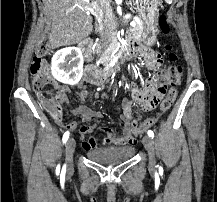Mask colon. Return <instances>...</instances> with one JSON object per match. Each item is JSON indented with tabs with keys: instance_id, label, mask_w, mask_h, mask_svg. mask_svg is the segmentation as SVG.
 <instances>
[{
	"instance_id": "colon-1",
	"label": "colon",
	"mask_w": 217,
	"mask_h": 202,
	"mask_svg": "<svg viewBox=\"0 0 217 202\" xmlns=\"http://www.w3.org/2000/svg\"><path fill=\"white\" fill-rule=\"evenodd\" d=\"M158 27L163 35H168L170 32V25L167 21L165 14H160L158 18ZM54 40L53 36H41V41H39V46H51V41ZM166 54L170 61L177 62L179 60V55L170 45L164 48ZM35 54H45V49H35ZM50 59H44L43 55L34 56L30 65V72L33 76V88L37 95L39 96L40 103H43L51 112H55L56 115H60V108L63 107L62 103H67V98H65V93H56L60 91L59 80H50L51 73H49V68H54V63H50ZM160 74V79L158 82H164V85H172L178 87L182 77H183V67L179 64L164 67L158 70ZM160 88V87H152ZM164 88V87H161ZM145 95H158V90H145ZM167 99L164 100V107H160L161 111L168 110L174 103L177 97V92L174 89L170 91L167 95ZM135 99L139 102H158L162 99V96H135ZM157 122V117L144 119L136 129L142 134L149 130ZM58 128H65V123H58ZM87 128L82 129L86 131Z\"/></svg>"
}]
</instances>
